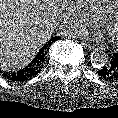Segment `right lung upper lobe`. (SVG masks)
Here are the masks:
<instances>
[{
	"instance_id": "obj_1",
	"label": "right lung upper lobe",
	"mask_w": 118,
	"mask_h": 118,
	"mask_svg": "<svg viewBox=\"0 0 118 118\" xmlns=\"http://www.w3.org/2000/svg\"><path fill=\"white\" fill-rule=\"evenodd\" d=\"M45 47H47V45H45V46L42 48V50H44V49H45Z\"/></svg>"
}]
</instances>
